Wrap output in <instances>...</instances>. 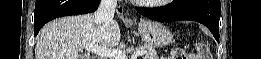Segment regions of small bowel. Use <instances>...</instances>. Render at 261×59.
I'll return each instance as SVG.
<instances>
[{
	"mask_svg": "<svg viewBox=\"0 0 261 59\" xmlns=\"http://www.w3.org/2000/svg\"><path fill=\"white\" fill-rule=\"evenodd\" d=\"M189 56L191 57V59L196 58V57H194V56H192V55H189ZM169 58H173L172 55H171V57H169ZM173 59H174V58H173Z\"/></svg>",
	"mask_w": 261,
	"mask_h": 59,
	"instance_id": "1",
	"label": "small bowel"
}]
</instances>
